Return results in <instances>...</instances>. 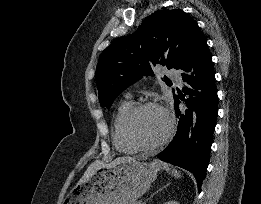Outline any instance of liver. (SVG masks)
Segmentation results:
<instances>
[{
	"mask_svg": "<svg viewBox=\"0 0 261 204\" xmlns=\"http://www.w3.org/2000/svg\"><path fill=\"white\" fill-rule=\"evenodd\" d=\"M130 160H134V159L132 157H118L114 161H112L111 163H108V164L101 162V161H95L87 168L84 175L80 179L79 184L87 182L92 177V175L95 173V171L101 167L115 166L118 163H121L124 161H130Z\"/></svg>",
	"mask_w": 261,
	"mask_h": 204,
	"instance_id": "6515ba94",
	"label": "liver"
}]
</instances>
